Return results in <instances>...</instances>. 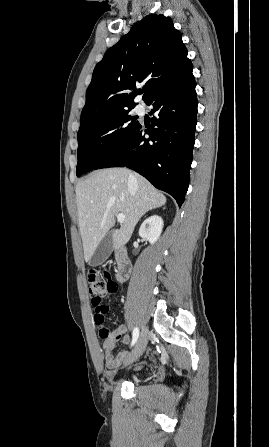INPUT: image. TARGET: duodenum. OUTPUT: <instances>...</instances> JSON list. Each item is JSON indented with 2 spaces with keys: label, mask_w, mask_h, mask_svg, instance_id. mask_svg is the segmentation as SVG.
I'll list each match as a JSON object with an SVG mask.
<instances>
[{
  "label": "duodenum",
  "mask_w": 269,
  "mask_h": 447,
  "mask_svg": "<svg viewBox=\"0 0 269 447\" xmlns=\"http://www.w3.org/2000/svg\"><path fill=\"white\" fill-rule=\"evenodd\" d=\"M131 261L124 248L120 249L116 254V277L118 281H125L129 278L131 273Z\"/></svg>",
  "instance_id": "410a0bca"
}]
</instances>
